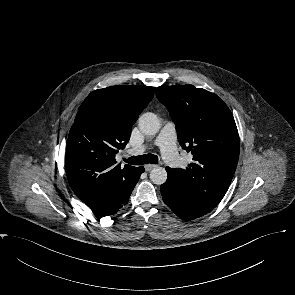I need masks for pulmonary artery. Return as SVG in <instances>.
Wrapping results in <instances>:
<instances>
[{
    "instance_id": "e3ab8cb5",
    "label": "pulmonary artery",
    "mask_w": 295,
    "mask_h": 295,
    "mask_svg": "<svg viewBox=\"0 0 295 295\" xmlns=\"http://www.w3.org/2000/svg\"><path fill=\"white\" fill-rule=\"evenodd\" d=\"M177 133L175 125L171 122L166 123L155 139V145L160 148L161 154L165 161L172 167H176L181 163V159L177 153ZM147 147L145 145L136 147L131 150L132 153H142Z\"/></svg>"
}]
</instances>
